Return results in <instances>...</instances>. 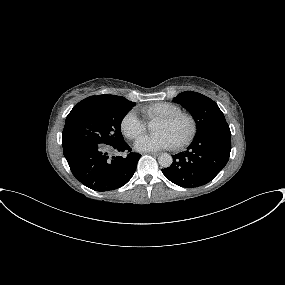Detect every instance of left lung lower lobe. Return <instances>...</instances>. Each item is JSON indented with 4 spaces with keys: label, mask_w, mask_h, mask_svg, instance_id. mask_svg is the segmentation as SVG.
Listing matches in <instances>:
<instances>
[{
    "label": "left lung lower lobe",
    "mask_w": 285,
    "mask_h": 285,
    "mask_svg": "<svg viewBox=\"0 0 285 285\" xmlns=\"http://www.w3.org/2000/svg\"><path fill=\"white\" fill-rule=\"evenodd\" d=\"M230 151V131H206L194 137L186 152L174 155L171 166L162 172L178 186L199 187L210 182L224 168Z\"/></svg>",
    "instance_id": "0a47b994"
}]
</instances>
